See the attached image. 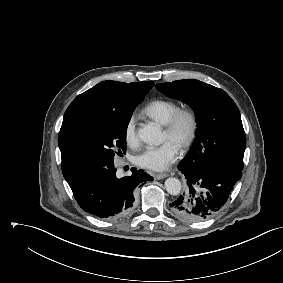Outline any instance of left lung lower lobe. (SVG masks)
Listing matches in <instances>:
<instances>
[{
  "instance_id": "1",
  "label": "left lung lower lobe",
  "mask_w": 283,
  "mask_h": 283,
  "mask_svg": "<svg viewBox=\"0 0 283 283\" xmlns=\"http://www.w3.org/2000/svg\"><path fill=\"white\" fill-rule=\"evenodd\" d=\"M187 179L188 190L170 204L178 217L188 221H203L214 216L226 203L242 170L213 165L199 170L178 166Z\"/></svg>"
}]
</instances>
